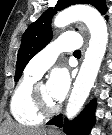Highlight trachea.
<instances>
[{
    "label": "trachea",
    "mask_w": 112,
    "mask_h": 135,
    "mask_svg": "<svg viewBox=\"0 0 112 135\" xmlns=\"http://www.w3.org/2000/svg\"><path fill=\"white\" fill-rule=\"evenodd\" d=\"M75 55H78V54H81V51L80 50H77L74 52Z\"/></svg>",
    "instance_id": "trachea-1"
}]
</instances>
